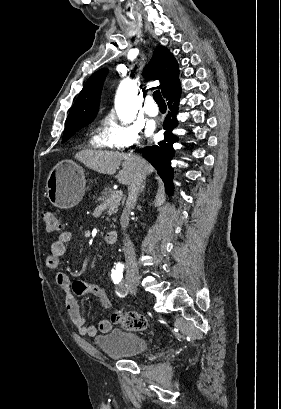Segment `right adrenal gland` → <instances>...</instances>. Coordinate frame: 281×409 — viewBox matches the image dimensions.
<instances>
[{"mask_svg": "<svg viewBox=\"0 0 281 409\" xmlns=\"http://www.w3.org/2000/svg\"><path fill=\"white\" fill-rule=\"evenodd\" d=\"M144 188H145V180H144L143 186H141V188H140L141 192H143Z\"/></svg>", "mask_w": 281, "mask_h": 409, "instance_id": "1", "label": "right adrenal gland"}]
</instances>
